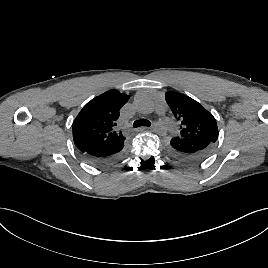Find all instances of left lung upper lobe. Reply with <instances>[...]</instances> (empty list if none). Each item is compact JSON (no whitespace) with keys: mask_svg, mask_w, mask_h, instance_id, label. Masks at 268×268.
Here are the masks:
<instances>
[{"mask_svg":"<svg viewBox=\"0 0 268 268\" xmlns=\"http://www.w3.org/2000/svg\"><path fill=\"white\" fill-rule=\"evenodd\" d=\"M165 99L180 122L181 132L176 138H204L214 143L217 141L216 120L202 105L177 92H166Z\"/></svg>","mask_w":268,"mask_h":268,"instance_id":"5c2ea615","label":"left lung upper lobe"}]
</instances>
